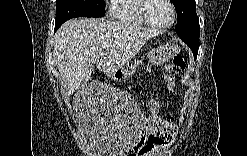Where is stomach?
<instances>
[{"instance_id": "1", "label": "stomach", "mask_w": 247, "mask_h": 156, "mask_svg": "<svg viewBox=\"0 0 247 156\" xmlns=\"http://www.w3.org/2000/svg\"><path fill=\"white\" fill-rule=\"evenodd\" d=\"M177 52L178 47L173 44H166L157 47L147 54L148 63L150 65L158 67L170 61L177 54ZM139 64V61L128 63L125 68L117 71L113 75L119 78H126L127 76L133 74L136 71V68L139 66Z\"/></svg>"}]
</instances>
